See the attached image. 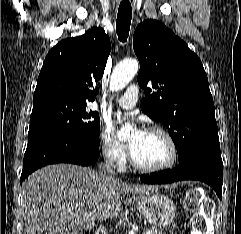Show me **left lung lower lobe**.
<instances>
[{"mask_svg":"<svg viewBox=\"0 0 241 234\" xmlns=\"http://www.w3.org/2000/svg\"><path fill=\"white\" fill-rule=\"evenodd\" d=\"M141 181L148 184L199 180L210 185L222 198L223 162L220 154L198 153L187 157L178 167L158 173L144 174Z\"/></svg>","mask_w":241,"mask_h":234,"instance_id":"0a47b994","label":"left lung lower lobe"}]
</instances>
